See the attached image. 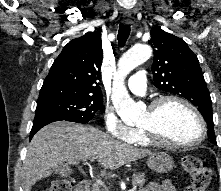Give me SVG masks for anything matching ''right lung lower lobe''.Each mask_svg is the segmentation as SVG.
Returning a JSON list of instances; mask_svg holds the SVG:
<instances>
[{
    "instance_id": "obj_1",
    "label": "right lung lower lobe",
    "mask_w": 221,
    "mask_h": 191,
    "mask_svg": "<svg viewBox=\"0 0 221 191\" xmlns=\"http://www.w3.org/2000/svg\"><path fill=\"white\" fill-rule=\"evenodd\" d=\"M61 120H62L61 117L57 116L52 111L46 108L36 109L35 118L33 121V127L30 132V140L34 136V134L45 125L55 122V121H61Z\"/></svg>"
}]
</instances>
